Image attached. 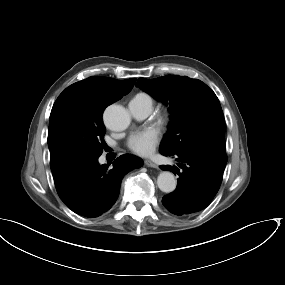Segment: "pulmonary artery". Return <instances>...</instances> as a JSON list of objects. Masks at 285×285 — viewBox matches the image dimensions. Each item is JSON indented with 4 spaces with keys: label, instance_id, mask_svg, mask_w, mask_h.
Wrapping results in <instances>:
<instances>
[{
    "label": "pulmonary artery",
    "instance_id": "e3ab8cb5",
    "mask_svg": "<svg viewBox=\"0 0 285 285\" xmlns=\"http://www.w3.org/2000/svg\"><path fill=\"white\" fill-rule=\"evenodd\" d=\"M128 108L134 118H145L152 112L151 98L146 94H138L129 101Z\"/></svg>",
    "mask_w": 285,
    "mask_h": 285
}]
</instances>
